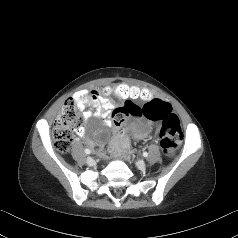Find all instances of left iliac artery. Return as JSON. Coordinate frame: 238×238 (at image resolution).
Here are the masks:
<instances>
[{"mask_svg": "<svg viewBox=\"0 0 238 238\" xmlns=\"http://www.w3.org/2000/svg\"><path fill=\"white\" fill-rule=\"evenodd\" d=\"M143 156H144V157H147V156H148V153H147V152H143Z\"/></svg>", "mask_w": 238, "mask_h": 238, "instance_id": "44dca946", "label": "left iliac artery"}]
</instances>
